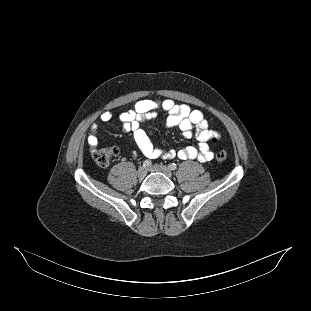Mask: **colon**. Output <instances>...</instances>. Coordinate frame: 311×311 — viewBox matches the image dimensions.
I'll use <instances>...</instances> for the list:
<instances>
[{"instance_id":"obj_1","label":"colon","mask_w":311,"mask_h":311,"mask_svg":"<svg viewBox=\"0 0 311 311\" xmlns=\"http://www.w3.org/2000/svg\"><path fill=\"white\" fill-rule=\"evenodd\" d=\"M211 141L213 143L218 142L217 137H212ZM117 155V149L115 147H102L93 150L92 156L94 161L101 167L108 166L115 156ZM227 158V153L224 150H220L216 153V160L217 161H224Z\"/></svg>"}]
</instances>
